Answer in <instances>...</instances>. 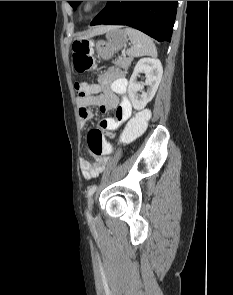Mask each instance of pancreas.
Wrapping results in <instances>:
<instances>
[{
    "mask_svg": "<svg viewBox=\"0 0 233 295\" xmlns=\"http://www.w3.org/2000/svg\"><path fill=\"white\" fill-rule=\"evenodd\" d=\"M132 60H133L132 57L122 58L118 61V66L120 68H123L124 70H127L129 66L131 65Z\"/></svg>",
    "mask_w": 233,
    "mask_h": 295,
    "instance_id": "cf45deb5",
    "label": "pancreas"
}]
</instances>
